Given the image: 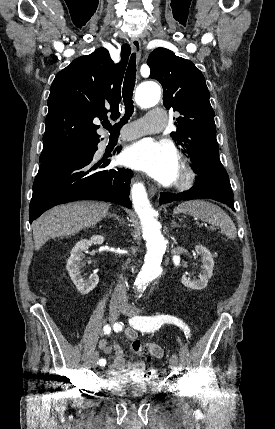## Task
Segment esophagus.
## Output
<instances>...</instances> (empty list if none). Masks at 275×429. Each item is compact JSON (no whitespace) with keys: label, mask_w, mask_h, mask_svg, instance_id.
<instances>
[{"label":"esophagus","mask_w":275,"mask_h":429,"mask_svg":"<svg viewBox=\"0 0 275 429\" xmlns=\"http://www.w3.org/2000/svg\"><path fill=\"white\" fill-rule=\"evenodd\" d=\"M132 49L136 54L137 61L140 60L141 57V42L139 38L135 37L131 40ZM148 192L150 196H154L157 193V188L153 185H149Z\"/></svg>","instance_id":"obj_1"}]
</instances>
